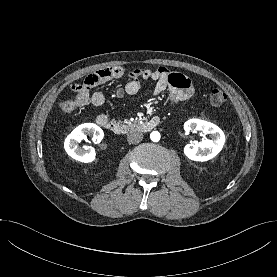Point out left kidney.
Wrapping results in <instances>:
<instances>
[{
  "label": "left kidney",
  "mask_w": 277,
  "mask_h": 277,
  "mask_svg": "<svg viewBox=\"0 0 277 277\" xmlns=\"http://www.w3.org/2000/svg\"><path fill=\"white\" fill-rule=\"evenodd\" d=\"M185 131H201L210 134V139L201 142L187 144L184 154L193 161H208L214 158L223 148L225 135L223 131L211 122L200 119H191L184 124Z\"/></svg>",
  "instance_id": "obj_1"
}]
</instances>
